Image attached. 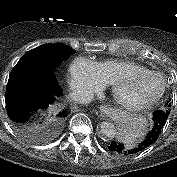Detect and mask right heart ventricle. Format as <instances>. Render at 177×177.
Here are the masks:
<instances>
[{
  "mask_svg": "<svg viewBox=\"0 0 177 177\" xmlns=\"http://www.w3.org/2000/svg\"><path fill=\"white\" fill-rule=\"evenodd\" d=\"M94 64L103 81L108 85H111L113 81L122 74L148 70L136 62L123 59H107L94 62Z\"/></svg>",
  "mask_w": 177,
  "mask_h": 177,
  "instance_id": "1",
  "label": "right heart ventricle"
}]
</instances>
